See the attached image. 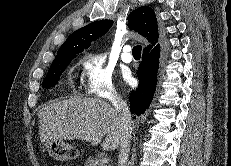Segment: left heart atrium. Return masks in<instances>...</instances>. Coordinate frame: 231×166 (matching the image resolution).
Returning <instances> with one entry per match:
<instances>
[{
	"label": "left heart atrium",
	"instance_id": "obj_1",
	"mask_svg": "<svg viewBox=\"0 0 231 166\" xmlns=\"http://www.w3.org/2000/svg\"><path fill=\"white\" fill-rule=\"evenodd\" d=\"M125 80L127 82H131L132 78H131V75L129 73L127 75H125Z\"/></svg>",
	"mask_w": 231,
	"mask_h": 166
}]
</instances>
